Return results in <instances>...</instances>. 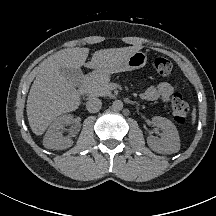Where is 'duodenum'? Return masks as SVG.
<instances>
[{
	"label": "duodenum",
	"instance_id": "410a0bca",
	"mask_svg": "<svg viewBox=\"0 0 216 216\" xmlns=\"http://www.w3.org/2000/svg\"><path fill=\"white\" fill-rule=\"evenodd\" d=\"M92 80V76L89 75V76H86L83 84L81 85V87L78 89V95L80 97H83L86 92H87V89H88V84L90 83V81Z\"/></svg>",
	"mask_w": 216,
	"mask_h": 216
}]
</instances>
